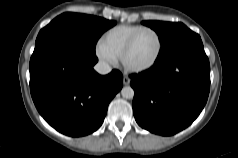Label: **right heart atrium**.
<instances>
[{
    "mask_svg": "<svg viewBox=\"0 0 238 158\" xmlns=\"http://www.w3.org/2000/svg\"><path fill=\"white\" fill-rule=\"evenodd\" d=\"M96 54L101 61L106 64H114L116 63L117 57L113 55L110 51H108L101 42H99L96 46Z\"/></svg>",
    "mask_w": 238,
    "mask_h": 158,
    "instance_id": "d8ad5b80",
    "label": "right heart atrium"
}]
</instances>
